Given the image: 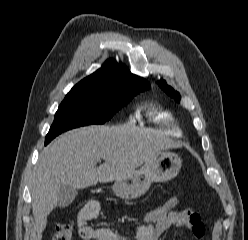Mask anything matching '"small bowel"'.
<instances>
[{"label": "small bowel", "mask_w": 248, "mask_h": 240, "mask_svg": "<svg viewBox=\"0 0 248 240\" xmlns=\"http://www.w3.org/2000/svg\"><path fill=\"white\" fill-rule=\"evenodd\" d=\"M99 201H89L78 213V234L83 240H160V237L171 227L186 228L197 240H202L206 228L201 216L190 208L172 211L156 221L140 225L129 235L119 234L109 228H95L88 224L102 214Z\"/></svg>", "instance_id": "c3829d8e"}]
</instances>
